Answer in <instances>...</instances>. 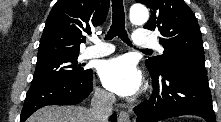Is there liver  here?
Instances as JSON below:
<instances>
[{
	"label": "liver",
	"mask_w": 221,
	"mask_h": 122,
	"mask_svg": "<svg viewBox=\"0 0 221 122\" xmlns=\"http://www.w3.org/2000/svg\"><path fill=\"white\" fill-rule=\"evenodd\" d=\"M27 122H94L90 110L81 106H46L32 114Z\"/></svg>",
	"instance_id": "liver-1"
}]
</instances>
